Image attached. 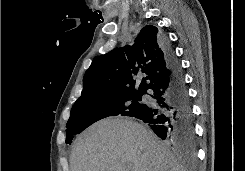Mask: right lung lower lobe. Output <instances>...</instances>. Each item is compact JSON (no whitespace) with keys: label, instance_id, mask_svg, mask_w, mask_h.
Here are the masks:
<instances>
[{"label":"right lung lower lobe","instance_id":"98d812e1","mask_svg":"<svg viewBox=\"0 0 245 171\" xmlns=\"http://www.w3.org/2000/svg\"><path fill=\"white\" fill-rule=\"evenodd\" d=\"M169 74L154 83L143 94L155 104H142L132 116L151 125L154 133L174 146L193 148L195 132L190 97L179 60L165 38H161Z\"/></svg>","mask_w":245,"mask_h":171}]
</instances>
